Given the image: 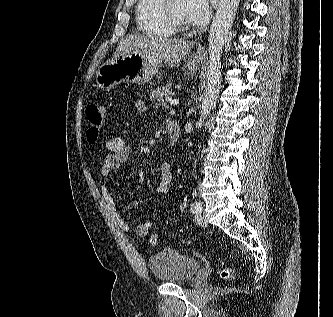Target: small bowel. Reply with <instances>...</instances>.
<instances>
[{"label": "small bowel", "mask_w": 333, "mask_h": 317, "mask_svg": "<svg viewBox=\"0 0 333 317\" xmlns=\"http://www.w3.org/2000/svg\"><path fill=\"white\" fill-rule=\"evenodd\" d=\"M134 109L137 112H145L147 110V103L143 99H137L134 101ZM107 150V154L103 160L102 166L100 168V176L102 178L100 190L104 201L114 218L118 227L124 232H134L138 237L146 236L152 229L154 222L145 221L135 227H132L128 222H126L122 216L119 214L114 197L107 185V180L110 175L122 167L130 158L131 147L127 142L126 138L123 136H116L107 139L104 143ZM172 171L169 163H164L160 168V182L156 187V192L160 194H166L170 191V186L172 183ZM167 209L171 207V203L167 202Z\"/></svg>", "instance_id": "c3829d8e"}]
</instances>
